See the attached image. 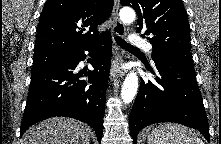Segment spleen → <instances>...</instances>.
<instances>
[{
  "mask_svg": "<svg viewBox=\"0 0 221 144\" xmlns=\"http://www.w3.org/2000/svg\"><path fill=\"white\" fill-rule=\"evenodd\" d=\"M148 144H203L198 135L183 125L163 123L154 128L147 137Z\"/></svg>",
  "mask_w": 221,
  "mask_h": 144,
  "instance_id": "spleen-1",
  "label": "spleen"
}]
</instances>
